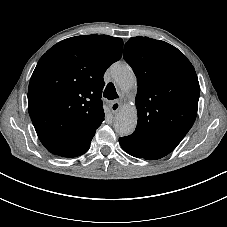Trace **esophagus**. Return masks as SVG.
Listing matches in <instances>:
<instances>
[{
  "label": "esophagus",
  "instance_id": "34e87169",
  "mask_svg": "<svg viewBox=\"0 0 227 227\" xmlns=\"http://www.w3.org/2000/svg\"><path fill=\"white\" fill-rule=\"evenodd\" d=\"M120 107H121V103L118 101H115L111 104V111L113 113H116L120 109Z\"/></svg>",
  "mask_w": 227,
  "mask_h": 227
}]
</instances>
